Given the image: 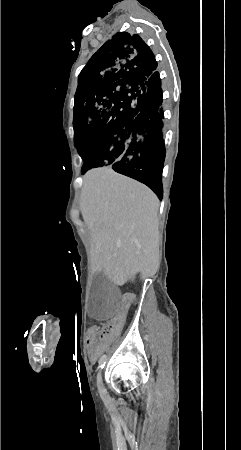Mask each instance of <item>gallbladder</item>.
Instances as JSON below:
<instances>
[{
	"label": "gallbladder",
	"instance_id": "gallbladder-1",
	"mask_svg": "<svg viewBox=\"0 0 241 450\" xmlns=\"http://www.w3.org/2000/svg\"><path fill=\"white\" fill-rule=\"evenodd\" d=\"M120 291L108 274H94L93 286L86 307L89 315L97 322L108 323L115 318L119 310Z\"/></svg>",
	"mask_w": 241,
	"mask_h": 450
}]
</instances>
